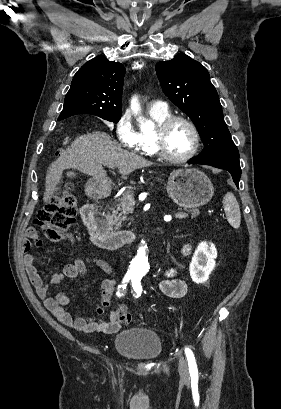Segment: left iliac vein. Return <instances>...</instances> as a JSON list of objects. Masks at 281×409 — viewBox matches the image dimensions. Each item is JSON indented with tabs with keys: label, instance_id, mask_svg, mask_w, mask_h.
I'll return each instance as SVG.
<instances>
[{
	"label": "left iliac vein",
	"instance_id": "obj_1",
	"mask_svg": "<svg viewBox=\"0 0 281 409\" xmlns=\"http://www.w3.org/2000/svg\"><path fill=\"white\" fill-rule=\"evenodd\" d=\"M180 375L187 378L189 376L188 366L186 359L182 354H179V364H178Z\"/></svg>",
	"mask_w": 281,
	"mask_h": 409
}]
</instances>
